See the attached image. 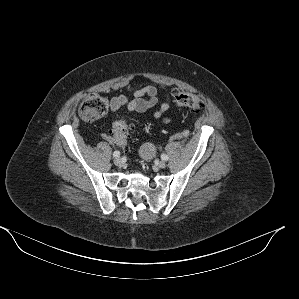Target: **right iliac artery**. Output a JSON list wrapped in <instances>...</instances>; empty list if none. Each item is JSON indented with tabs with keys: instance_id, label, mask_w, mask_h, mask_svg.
I'll return each mask as SVG.
<instances>
[{
	"instance_id": "82829eb1",
	"label": "right iliac artery",
	"mask_w": 299,
	"mask_h": 299,
	"mask_svg": "<svg viewBox=\"0 0 299 299\" xmlns=\"http://www.w3.org/2000/svg\"><path fill=\"white\" fill-rule=\"evenodd\" d=\"M113 156L114 157H119L120 156V152L119 151H114Z\"/></svg>"
}]
</instances>
